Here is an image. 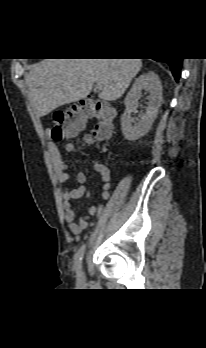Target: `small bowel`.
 <instances>
[{
  "instance_id": "small-bowel-1",
  "label": "small bowel",
  "mask_w": 206,
  "mask_h": 348,
  "mask_svg": "<svg viewBox=\"0 0 206 348\" xmlns=\"http://www.w3.org/2000/svg\"><path fill=\"white\" fill-rule=\"evenodd\" d=\"M65 149L71 153L76 152L77 150L74 144H67ZM49 154L57 181L59 183H65L69 179V164L63 159L60 149L55 144H51L49 146ZM92 166L103 182L100 192L101 198L107 200L110 197L109 190L111 188L112 180L111 171L102 161H94ZM76 179L78 186L72 189H65L62 194V199L63 208L65 211V220L69 226V229L74 235H79L88 227L89 219L95 216L102 209V205H91L86 214L76 220V215L72 208V202L87 195V189L85 187L87 176L85 173H78Z\"/></svg>"
}]
</instances>
